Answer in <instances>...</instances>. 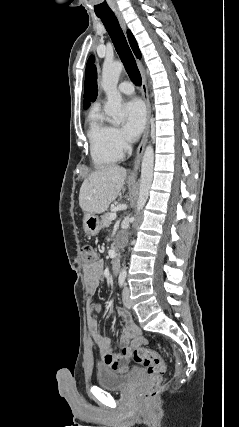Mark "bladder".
<instances>
[{
	"label": "bladder",
	"instance_id": "obj_1",
	"mask_svg": "<svg viewBox=\"0 0 239 427\" xmlns=\"http://www.w3.org/2000/svg\"><path fill=\"white\" fill-rule=\"evenodd\" d=\"M140 372L132 368L125 372H115L109 369L100 368L97 371L98 384L107 390H126L137 380Z\"/></svg>",
	"mask_w": 239,
	"mask_h": 427
}]
</instances>
